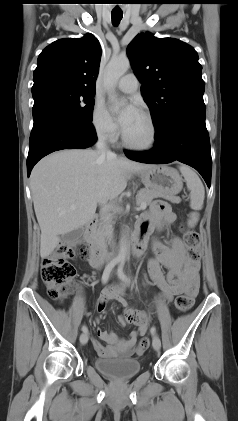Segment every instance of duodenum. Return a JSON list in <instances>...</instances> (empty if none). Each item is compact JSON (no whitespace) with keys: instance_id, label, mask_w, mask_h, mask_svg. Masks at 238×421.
Listing matches in <instances>:
<instances>
[{"instance_id":"1","label":"duodenum","mask_w":238,"mask_h":421,"mask_svg":"<svg viewBox=\"0 0 238 421\" xmlns=\"http://www.w3.org/2000/svg\"><path fill=\"white\" fill-rule=\"evenodd\" d=\"M97 217L91 218L84 232V239L89 250V263L93 267H101L106 260L109 259V253L98 242L96 235ZM147 247V239L141 233L136 232L133 238L132 255L134 258H140Z\"/></svg>"}]
</instances>
